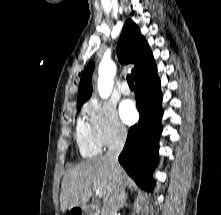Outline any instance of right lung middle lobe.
Masks as SVG:
<instances>
[{"label": "right lung middle lobe", "instance_id": "right-lung-middle-lobe-1", "mask_svg": "<svg viewBox=\"0 0 221 215\" xmlns=\"http://www.w3.org/2000/svg\"><path fill=\"white\" fill-rule=\"evenodd\" d=\"M82 105H83V104H79V105H78V108H80Z\"/></svg>", "mask_w": 221, "mask_h": 215}]
</instances>
